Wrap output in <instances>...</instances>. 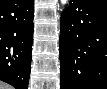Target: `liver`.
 Listing matches in <instances>:
<instances>
[{"mask_svg": "<svg viewBox=\"0 0 107 89\" xmlns=\"http://www.w3.org/2000/svg\"><path fill=\"white\" fill-rule=\"evenodd\" d=\"M0 88H1V89H12L11 86L5 85V84H3V83H1Z\"/></svg>", "mask_w": 107, "mask_h": 89, "instance_id": "liver-1", "label": "liver"}]
</instances>
